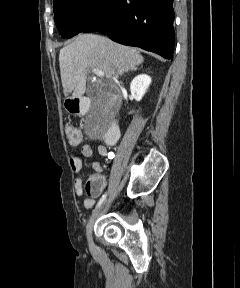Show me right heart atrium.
Returning a JSON list of instances; mask_svg holds the SVG:
<instances>
[{
	"instance_id": "right-heart-atrium-1",
	"label": "right heart atrium",
	"mask_w": 240,
	"mask_h": 288,
	"mask_svg": "<svg viewBox=\"0 0 240 288\" xmlns=\"http://www.w3.org/2000/svg\"><path fill=\"white\" fill-rule=\"evenodd\" d=\"M91 4V1L90 0H82L81 1V7L82 8H88Z\"/></svg>"
}]
</instances>
